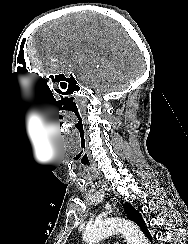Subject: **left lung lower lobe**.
I'll list each match as a JSON object with an SVG mask.
<instances>
[{
	"instance_id": "1",
	"label": "left lung lower lobe",
	"mask_w": 188,
	"mask_h": 244,
	"mask_svg": "<svg viewBox=\"0 0 188 244\" xmlns=\"http://www.w3.org/2000/svg\"><path fill=\"white\" fill-rule=\"evenodd\" d=\"M137 225L142 229V231L146 234V236H147L150 240H152V237H151V235H150V233H149V231H148V227L146 226V224H145L143 218H141V220L139 221V223H138Z\"/></svg>"
}]
</instances>
